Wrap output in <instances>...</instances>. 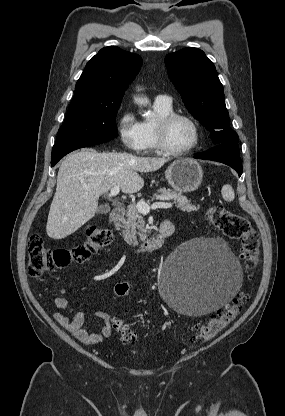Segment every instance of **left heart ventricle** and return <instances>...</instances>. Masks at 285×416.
<instances>
[{
  "label": "left heart ventricle",
  "mask_w": 285,
  "mask_h": 416,
  "mask_svg": "<svg viewBox=\"0 0 285 416\" xmlns=\"http://www.w3.org/2000/svg\"><path fill=\"white\" fill-rule=\"evenodd\" d=\"M166 141L170 148L181 151L189 148L194 142V130L184 119H176L169 126Z\"/></svg>",
  "instance_id": "obj_1"
}]
</instances>
